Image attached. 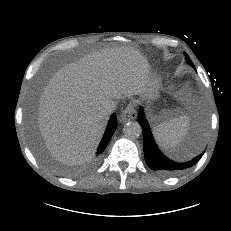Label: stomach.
I'll list each match as a JSON object with an SVG mask.
<instances>
[{
    "label": "stomach",
    "instance_id": "0dacf381",
    "mask_svg": "<svg viewBox=\"0 0 231 231\" xmlns=\"http://www.w3.org/2000/svg\"><path fill=\"white\" fill-rule=\"evenodd\" d=\"M160 89V78L157 76H150V82L146 88V91L141 94V102L146 105V110L151 111L150 106L158 99Z\"/></svg>",
    "mask_w": 231,
    "mask_h": 231
}]
</instances>
